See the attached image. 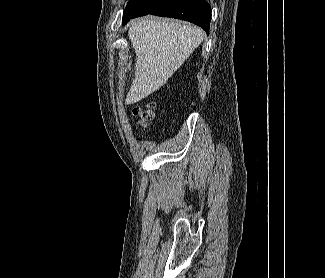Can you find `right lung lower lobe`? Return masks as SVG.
<instances>
[{"instance_id":"right-lung-lower-lobe-1","label":"right lung lower lobe","mask_w":325,"mask_h":278,"mask_svg":"<svg viewBox=\"0 0 325 278\" xmlns=\"http://www.w3.org/2000/svg\"><path fill=\"white\" fill-rule=\"evenodd\" d=\"M147 14L186 20L209 33L211 7L205 0H135L133 12L123 18L122 24Z\"/></svg>"}]
</instances>
